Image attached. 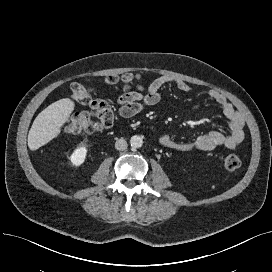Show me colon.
<instances>
[{"label":"colon","mask_w":272,"mask_h":272,"mask_svg":"<svg viewBox=\"0 0 272 272\" xmlns=\"http://www.w3.org/2000/svg\"><path fill=\"white\" fill-rule=\"evenodd\" d=\"M139 80L137 75H110L105 81L110 85L123 84L125 87L135 85ZM71 99L89 108L87 112L71 115L66 122V131L71 134L90 133L109 128L113 125L115 113L112 106L93 97L94 90L89 82L73 83L70 86ZM224 165L228 170H237L241 166V159L235 155H227Z\"/></svg>","instance_id":"5ec220e1"}]
</instances>
